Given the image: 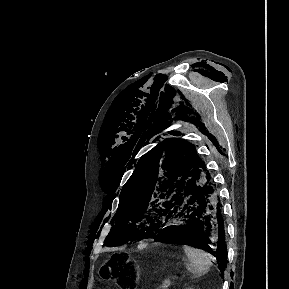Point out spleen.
Masks as SVG:
<instances>
[{"mask_svg":"<svg viewBox=\"0 0 289 289\" xmlns=\"http://www.w3.org/2000/svg\"><path fill=\"white\" fill-rule=\"evenodd\" d=\"M183 249L189 260L187 268L195 276L199 277L209 270L212 263L211 256L207 252L187 245H184Z\"/></svg>","mask_w":289,"mask_h":289,"instance_id":"spleen-1","label":"spleen"}]
</instances>
